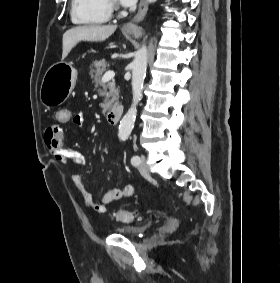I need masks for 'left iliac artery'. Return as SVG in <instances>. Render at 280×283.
I'll return each instance as SVG.
<instances>
[{
    "mask_svg": "<svg viewBox=\"0 0 280 283\" xmlns=\"http://www.w3.org/2000/svg\"><path fill=\"white\" fill-rule=\"evenodd\" d=\"M131 163L134 166H137L139 164V157L138 156H133L131 159Z\"/></svg>",
    "mask_w": 280,
    "mask_h": 283,
    "instance_id": "1",
    "label": "left iliac artery"
}]
</instances>
